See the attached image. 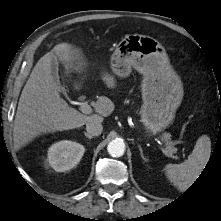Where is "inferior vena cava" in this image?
Returning <instances> with one entry per match:
<instances>
[{"mask_svg": "<svg viewBox=\"0 0 221 221\" xmlns=\"http://www.w3.org/2000/svg\"><path fill=\"white\" fill-rule=\"evenodd\" d=\"M86 131L89 133V135L92 136H98L103 131V126L101 124V121L94 120L90 121L86 124Z\"/></svg>", "mask_w": 221, "mask_h": 221, "instance_id": "602c4592", "label": "inferior vena cava"}]
</instances>
